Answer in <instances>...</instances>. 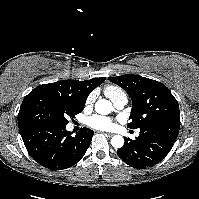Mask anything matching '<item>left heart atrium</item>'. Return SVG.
<instances>
[{
	"instance_id": "left-heart-atrium-1",
	"label": "left heart atrium",
	"mask_w": 199,
	"mask_h": 199,
	"mask_svg": "<svg viewBox=\"0 0 199 199\" xmlns=\"http://www.w3.org/2000/svg\"><path fill=\"white\" fill-rule=\"evenodd\" d=\"M88 124L93 128L106 130L112 126V121L107 117L95 115L89 118Z\"/></svg>"
}]
</instances>
